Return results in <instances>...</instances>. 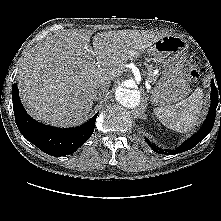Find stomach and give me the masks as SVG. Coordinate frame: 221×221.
I'll use <instances>...</instances> for the list:
<instances>
[{
	"label": "stomach",
	"mask_w": 221,
	"mask_h": 221,
	"mask_svg": "<svg viewBox=\"0 0 221 221\" xmlns=\"http://www.w3.org/2000/svg\"><path fill=\"white\" fill-rule=\"evenodd\" d=\"M188 48L187 41L175 35L162 36L150 47V54L162 69L151 96L155 105L176 103L187 95L189 83L184 74V65Z\"/></svg>",
	"instance_id": "0dacf381"
}]
</instances>
